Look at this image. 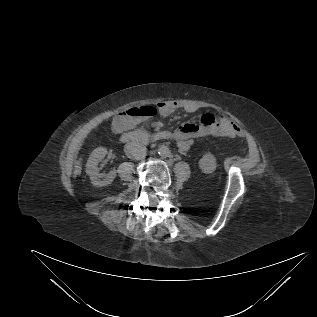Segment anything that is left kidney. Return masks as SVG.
Here are the masks:
<instances>
[{"label":"left kidney","mask_w":317,"mask_h":317,"mask_svg":"<svg viewBox=\"0 0 317 317\" xmlns=\"http://www.w3.org/2000/svg\"><path fill=\"white\" fill-rule=\"evenodd\" d=\"M216 158L211 153H205L199 160V168L204 173H212L216 169Z\"/></svg>","instance_id":"5707ae66"}]
</instances>
